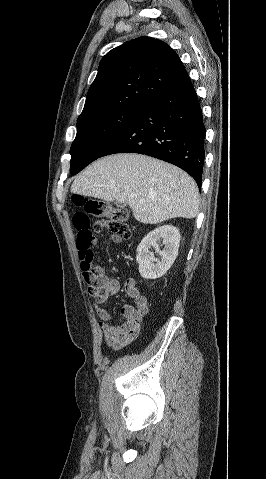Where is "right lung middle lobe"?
<instances>
[{
	"label": "right lung middle lobe",
	"instance_id": "dd1d6c3e",
	"mask_svg": "<svg viewBox=\"0 0 266 479\" xmlns=\"http://www.w3.org/2000/svg\"><path fill=\"white\" fill-rule=\"evenodd\" d=\"M141 111L140 108H121L77 119V135L70 149L71 173L77 174L98 159Z\"/></svg>",
	"mask_w": 266,
	"mask_h": 479
}]
</instances>
